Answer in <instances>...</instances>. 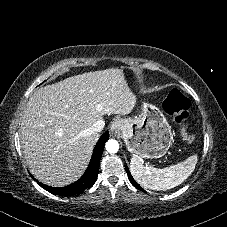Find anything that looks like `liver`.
<instances>
[{
	"label": "liver",
	"mask_w": 227,
	"mask_h": 227,
	"mask_svg": "<svg viewBox=\"0 0 227 227\" xmlns=\"http://www.w3.org/2000/svg\"><path fill=\"white\" fill-rule=\"evenodd\" d=\"M135 105L123 70L117 68L83 73L37 89L20 123L31 173L54 187L75 182L99 138L93 124L107 114H129Z\"/></svg>",
	"instance_id": "1"
}]
</instances>
